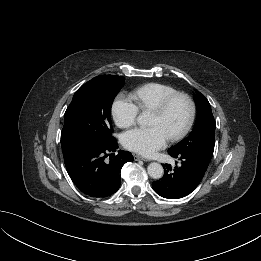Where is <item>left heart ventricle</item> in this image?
Listing matches in <instances>:
<instances>
[{
  "label": "left heart ventricle",
  "mask_w": 261,
  "mask_h": 261,
  "mask_svg": "<svg viewBox=\"0 0 261 261\" xmlns=\"http://www.w3.org/2000/svg\"><path fill=\"white\" fill-rule=\"evenodd\" d=\"M188 105L183 99L177 100L163 116L152 113L151 126H160L168 136L180 131L188 118Z\"/></svg>",
  "instance_id": "obj_1"
}]
</instances>
